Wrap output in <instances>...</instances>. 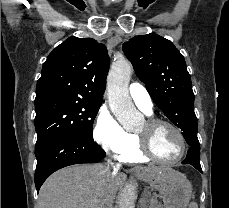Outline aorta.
Here are the masks:
<instances>
[{"instance_id": "762f6f07", "label": "aorta", "mask_w": 229, "mask_h": 208, "mask_svg": "<svg viewBox=\"0 0 229 208\" xmlns=\"http://www.w3.org/2000/svg\"><path fill=\"white\" fill-rule=\"evenodd\" d=\"M132 65L128 61H117L111 66L107 79L108 100L111 111L127 130H133L140 124L143 115L134 106L129 95V81ZM136 187L126 185L120 194L119 208H135Z\"/></svg>"}]
</instances>
